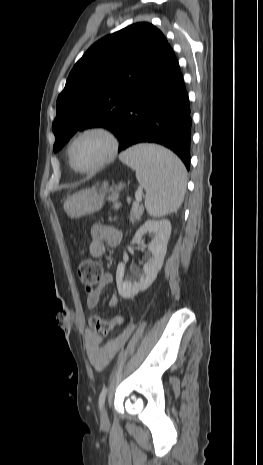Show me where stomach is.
<instances>
[{"mask_svg":"<svg viewBox=\"0 0 263 465\" xmlns=\"http://www.w3.org/2000/svg\"><path fill=\"white\" fill-rule=\"evenodd\" d=\"M124 183L115 186L121 190ZM106 193H99L96 188H89L74 193L64 201L63 208L70 218H80L98 212L105 203Z\"/></svg>","mask_w":263,"mask_h":465,"instance_id":"stomach-1","label":"stomach"}]
</instances>
